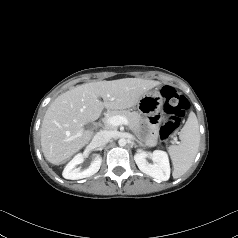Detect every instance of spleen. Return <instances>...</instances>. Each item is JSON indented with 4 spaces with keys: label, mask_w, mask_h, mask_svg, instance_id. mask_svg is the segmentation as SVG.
<instances>
[{
    "label": "spleen",
    "mask_w": 238,
    "mask_h": 238,
    "mask_svg": "<svg viewBox=\"0 0 238 238\" xmlns=\"http://www.w3.org/2000/svg\"><path fill=\"white\" fill-rule=\"evenodd\" d=\"M179 145H172L168 148V153L173 163V177L179 178L192 166L198 153L200 143L199 124L194 112L189 117L180 131Z\"/></svg>",
    "instance_id": "3e777b00"
}]
</instances>
